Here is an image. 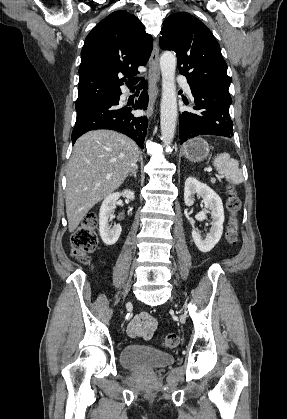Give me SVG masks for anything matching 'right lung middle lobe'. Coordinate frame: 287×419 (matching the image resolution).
I'll return each mask as SVG.
<instances>
[{
	"instance_id": "1",
	"label": "right lung middle lobe",
	"mask_w": 287,
	"mask_h": 419,
	"mask_svg": "<svg viewBox=\"0 0 287 419\" xmlns=\"http://www.w3.org/2000/svg\"><path fill=\"white\" fill-rule=\"evenodd\" d=\"M114 97L111 98H107L101 101H97L88 105H84V106H76V111H77V117L81 116L82 114H84L85 112L89 111L92 108H95L99 105H101L102 103L111 100Z\"/></svg>"
}]
</instances>
